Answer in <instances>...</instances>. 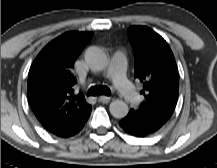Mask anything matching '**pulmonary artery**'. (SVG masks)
<instances>
[{
    "label": "pulmonary artery",
    "mask_w": 217,
    "mask_h": 168,
    "mask_svg": "<svg viewBox=\"0 0 217 168\" xmlns=\"http://www.w3.org/2000/svg\"><path fill=\"white\" fill-rule=\"evenodd\" d=\"M126 64V52L123 49L115 51L111 58L108 75L112 79L123 99L127 103H135L139 100V95L125 77Z\"/></svg>",
    "instance_id": "1"
}]
</instances>
